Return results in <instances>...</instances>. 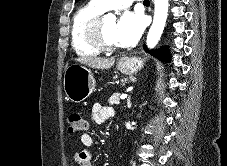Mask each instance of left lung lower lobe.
Segmentation results:
<instances>
[{"label":"left lung lower lobe","mask_w":227,"mask_h":166,"mask_svg":"<svg viewBox=\"0 0 227 166\" xmlns=\"http://www.w3.org/2000/svg\"><path fill=\"white\" fill-rule=\"evenodd\" d=\"M144 49L147 52L149 51L145 45H144ZM150 54L154 55L155 57H158L162 61H165V62L170 61L169 51L165 47L158 50H153L152 52H150Z\"/></svg>","instance_id":"left-lung-lower-lobe-1"}]
</instances>
